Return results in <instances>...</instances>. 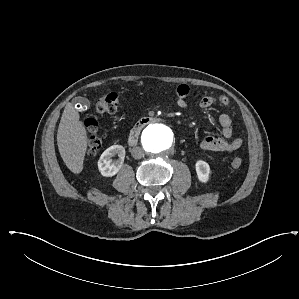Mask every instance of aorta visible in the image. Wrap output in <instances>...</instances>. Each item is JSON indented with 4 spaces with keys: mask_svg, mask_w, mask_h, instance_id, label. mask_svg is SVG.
<instances>
[{
    "mask_svg": "<svg viewBox=\"0 0 299 299\" xmlns=\"http://www.w3.org/2000/svg\"><path fill=\"white\" fill-rule=\"evenodd\" d=\"M142 146L149 156H158L173 145V132L164 124H150L142 133Z\"/></svg>",
    "mask_w": 299,
    "mask_h": 299,
    "instance_id": "1",
    "label": "aorta"
}]
</instances>
